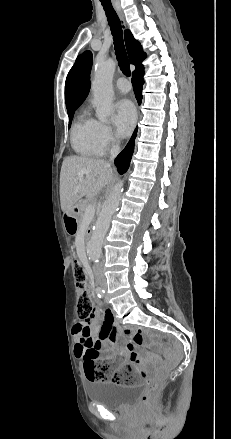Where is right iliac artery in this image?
Wrapping results in <instances>:
<instances>
[{"label":"right iliac artery","mask_w":231,"mask_h":439,"mask_svg":"<svg viewBox=\"0 0 231 439\" xmlns=\"http://www.w3.org/2000/svg\"><path fill=\"white\" fill-rule=\"evenodd\" d=\"M96 294H97V296H98L99 298H101V297L104 296L105 291H104L102 288L97 287V288H96Z\"/></svg>","instance_id":"obj_1"}]
</instances>
